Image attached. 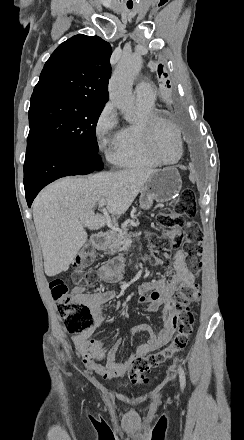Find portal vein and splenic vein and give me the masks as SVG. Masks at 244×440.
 <instances>
[{"label": "portal vein and splenic vein", "mask_w": 244, "mask_h": 440, "mask_svg": "<svg viewBox=\"0 0 244 440\" xmlns=\"http://www.w3.org/2000/svg\"><path fill=\"white\" fill-rule=\"evenodd\" d=\"M105 200H99L98 206L99 208H103Z\"/></svg>", "instance_id": "portal-vein-and-splenic-vein-1"}]
</instances>
